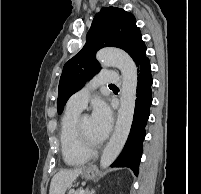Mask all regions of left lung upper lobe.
<instances>
[{"label": "left lung upper lobe", "mask_w": 201, "mask_h": 194, "mask_svg": "<svg viewBox=\"0 0 201 194\" xmlns=\"http://www.w3.org/2000/svg\"><path fill=\"white\" fill-rule=\"evenodd\" d=\"M141 40V31L133 14L118 7L101 9L93 19L84 47L63 67L58 88V113H62L69 97L99 71L95 59L99 49L117 47L132 57Z\"/></svg>", "instance_id": "5c2ea615"}]
</instances>
